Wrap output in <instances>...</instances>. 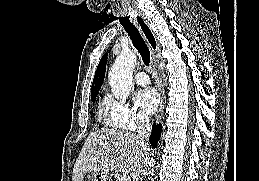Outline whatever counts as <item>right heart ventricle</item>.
<instances>
[{
  "label": "right heart ventricle",
  "instance_id": "obj_1",
  "mask_svg": "<svg viewBox=\"0 0 259 181\" xmlns=\"http://www.w3.org/2000/svg\"><path fill=\"white\" fill-rule=\"evenodd\" d=\"M98 117H99V120H101V119H105V120H106V117H105V115H104V109H103L102 106H100V108H99ZM106 122H107V121H106Z\"/></svg>",
  "mask_w": 259,
  "mask_h": 181
}]
</instances>
